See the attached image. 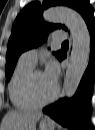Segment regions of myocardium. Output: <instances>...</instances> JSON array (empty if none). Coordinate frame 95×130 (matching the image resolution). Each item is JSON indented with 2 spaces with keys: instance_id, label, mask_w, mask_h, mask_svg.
<instances>
[{
  "instance_id": "obj_1",
  "label": "myocardium",
  "mask_w": 95,
  "mask_h": 130,
  "mask_svg": "<svg viewBox=\"0 0 95 130\" xmlns=\"http://www.w3.org/2000/svg\"><path fill=\"white\" fill-rule=\"evenodd\" d=\"M41 72L40 70H33L27 80L26 91L29 99L37 106H45L55 101L59 95V87L56 85L54 94L45 100L40 99L35 91L34 79L35 75Z\"/></svg>"
}]
</instances>
